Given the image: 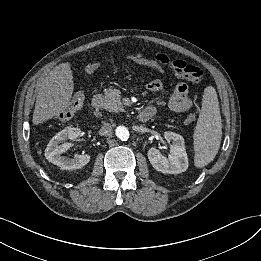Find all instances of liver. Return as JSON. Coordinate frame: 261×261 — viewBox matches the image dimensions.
<instances>
[{"mask_svg":"<svg viewBox=\"0 0 261 261\" xmlns=\"http://www.w3.org/2000/svg\"><path fill=\"white\" fill-rule=\"evenodd\" d=\"M73 89L70 63H61L54 67L45 77L38 92L33 124L38 125L63 112L70 105Z\"/></svg>","mask_w":261,"mask_h":261,"instance_id":"1","label":"liver"}]
</instances>
